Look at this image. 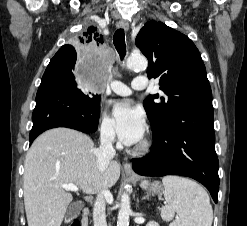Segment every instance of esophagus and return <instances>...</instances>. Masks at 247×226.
I'll use <instances>...</instances> for the list:
<instances>
[{
	"mask_svg": "<svg viewBox=\"0 0 247 226\" xmlns=\"http://www.w3.org/2000/svg\"><path fill=\"white\" fill-rule=\"evenodd\" d=\"M117 28H122L127 31L129 29V23L126 20H120L117 22ZM123 169L127 174L134 175L132 166L129 162L123 163Z\"/></svg>",
	"mask_w": 247,
	"mask_h": 226,
	"instance_id": "obj_1",
	"label": "esophagus"
}]
</instances>
